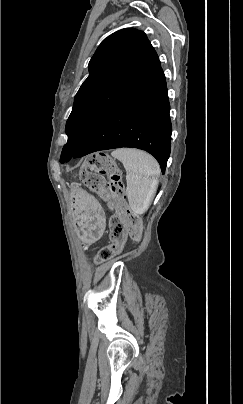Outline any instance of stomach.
<instances>
[{"label": "stomach", "instance_id": "0dacf381", "mask_svg": "<svg viewBox=\"0 0 243 404\" xmlns=\"http://www.w3.org/2000/svg\"><path fill=\"white\" fill-rule=\"evenodd\" d=\"M70 193L80 239L85 243L95 242L105 230V215L101 205L77 184H71Z\"/></svg>", "mask_w": 243, "mask_h": 404}]
</instances>
